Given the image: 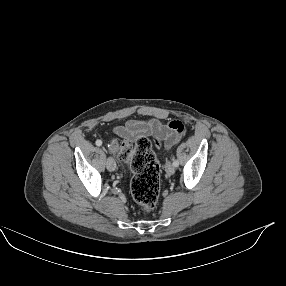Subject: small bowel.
Instances as JSON below:
<instances>
[{"mask_svg":"<svg viewBox=\"0 0 286 286\" xmlns=\"http://www.w3.org/2000/svg\"><path fill=\"white\" fill-rule=\"evenodd\" d=\"M179 123L182 122L173 120L165 123L159 119L133 120L123 126L117 127L115 133L129 141H133L138 137L151 135L155 139L163 141L167 149H171L177 144L183 133Z\"/></svg>","mask_w":286,"mask_h":286,"instance_id":"c3829d8e","label":"small bowel"}]
</instances>
